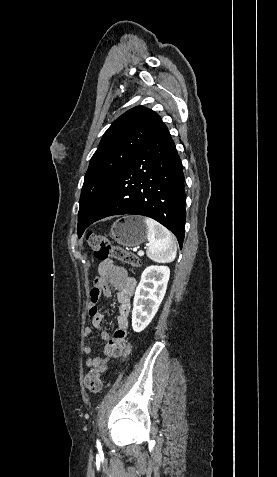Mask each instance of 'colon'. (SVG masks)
I'll return each instance as SVG.
<instances>
[{
	"instance_id": "5ec220e1",
	"label": "colon",
	"mask_w": 277,
	"mask_h": 477,
	"mask_svg": "<svg viewBox=\"0 0 277 477\" xmlns=\"http://www.w3.org/2000/svg\"><path fill=\"white\" fill-rule=\"evenodd\" d=\"M87 242L93 251L94 257L98 260H105L111 257L127 263L130 268L142 267L140 256H136L121 247L113 245L111 241L103 235L91 233L88 235ZM84 383L90 392H99L102 386L99 371L96 369L89 371Z\"/></svg>"
}]
</instances>
